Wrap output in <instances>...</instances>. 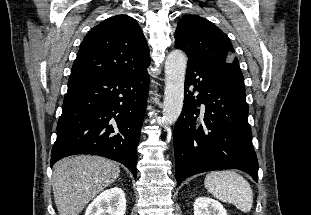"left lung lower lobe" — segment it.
Segmentation results:
<instances>
[{
	"instance_id": "obj_1",
	"label": "left lung lower lobe",
	"mask_w": 311,
	"mask_h": 215,
	"mask_svg": "<svg viewBox=\"0 0 311 215\" xmlns=\"http://www.w3.org/2000/svg\"><path fill=\"white\" fill-rule=\"evenodd\" d=\"M248 111L245 91L188 60L184 105L173 136L177 186L189 176L219 169H239L258 181Z\"/></svg>"
}]
</instances>
